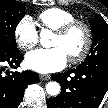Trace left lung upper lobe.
Listing matches in <instances>:
<instances>
[{
	"label": "left lung upper lobe",
	"mask_w": 108,
	"mask_h": 108,
	"mask_svg": "<svg viewBox=\"0 0 108 108\" xmlns=\"http://www.w3.org/2000/svg\"><path fill=\"white\" fill-rule=\"evenodd\" d=\"M90 27L93 35L92 48L90 55L87 56L81 65L101 61L108 63V24L99 14H95ZM76 95L77 92L75 90L69 91L67 94L69 100L74 99Z\"/></svg>",
	"instance_id": "1"
}]
</instances>
